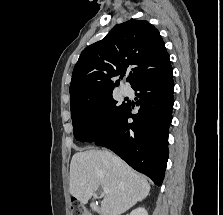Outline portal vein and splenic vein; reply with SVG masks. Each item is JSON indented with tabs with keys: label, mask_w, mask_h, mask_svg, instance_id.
<instances>
[{
	"label": "portal vein and splenic vein",
	"mask_w": 223,
	"mask_h": 215,
	"mask_svg": "<svg viewBox=\"0 0 223 215\" xmlns=\"http://www.w3.org/2000/svg\"><path fill=\"white\" fill-rule=\"evenodd\" d=\"M103 193H109L108 187H103Z\"/></svg>",
	"instance_id": "1"
}]
</instances>
